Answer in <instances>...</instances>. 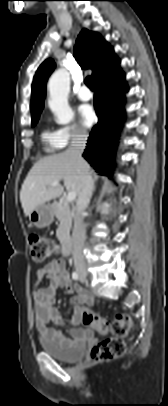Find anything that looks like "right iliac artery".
Masks as SVG:
<instances>
[{
  "instance_id": "obj_1",
  "label": "right iliac artery",
  "mask_w": 168,
  "mask_h": 406,
  "mask_svg": "<svg viewBox=\"0 0 168 406\" xmlns=\"http://www.w3.org/2000/svg\"><path fill=\"white\" fill-rule=\"evenodd\" d=\"M72 278H73L74 280H77V279L79 278L78 273H77V272H73V273H72Z\"/></svg>"
}]
</instances>
